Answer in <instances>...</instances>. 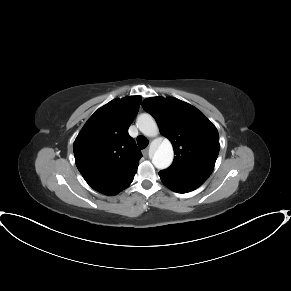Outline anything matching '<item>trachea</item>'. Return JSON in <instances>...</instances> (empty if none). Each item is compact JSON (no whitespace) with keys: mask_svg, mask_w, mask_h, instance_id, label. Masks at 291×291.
Listing matches in <instances>:
<instances>
[{"mask_svg":"<svg viewBox=\"0 0 291 291\" xmlns=\"http://www.w3.org/2000/svg\"><path fill=\"white\" fill-rule=\"evenodd\" d=\"M137 143L140 149H145L148 146V139L145 136H138Z\"/></svg>","mask_w":291,"mask_h":291,"instance_id":"1","label":"trachea"}]
</instances>
